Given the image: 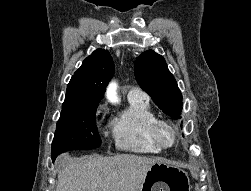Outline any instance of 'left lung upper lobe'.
Instances as JSON below:
<instances>
[{
    "mask_svg": "<svg viewBox=\"0 0 251 191\" xmlns=\"http://www.w3.org/2000/svg\"><path fill=\"white\" fill-rule=\"evenodd\" d=\"M134 74L139 86L165 114L181 118L182 95L163 56L153 50L143 52L134 63Z\"/></svg>",
    "mask_w": 251,
    "mask_h": 191,
    "instance_id": "obj_1",
    "label": "left lung upper lobe"
}]
</instances>
